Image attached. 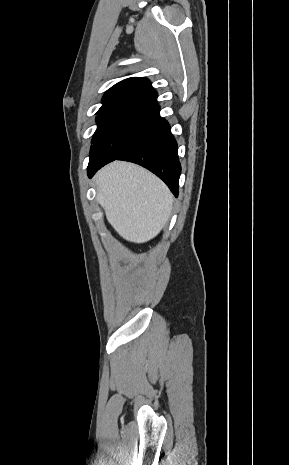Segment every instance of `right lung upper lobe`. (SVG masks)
<instances>
[{"instance_id": "cb5924a9", "label": "right lung upper lobe", "mask_w": 289, "mask_h": 465, "mask_svg": "<svg viewBox=\"0 0 289 465\" xmlns=\"http://www.w3.org/2000/svg\"><path fill=\"white\" fill-rule=\"evenodd\" d=\"M157 92L146 78L133 77L112 86L103 96L98 112L113 106L130 103L155 105Z\"/></svg>"}]
</instances>
